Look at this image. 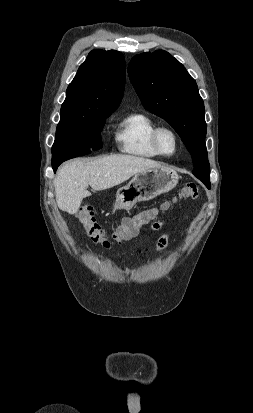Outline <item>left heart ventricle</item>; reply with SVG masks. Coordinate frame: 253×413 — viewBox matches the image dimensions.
Listing matches in <instances>:
<instances>
[{
  "instance_id": "b2bd125f",
  "label": "left heart ventricle",
  "mask_w": 253,
  "mask_h": 413,
  "mask_svg": "<svg viewBox=\"0 0 253 413\" xmlns=\"http://www.w3.org/2000/svg\"><path fill=\"white\" fill-rule=\"evenodd\" d=\"M159 144L162 149V151L166 154H171L173 153L175 149V140L173 136L167 132L163 131L160 136H159Z\"/></svg>"
}]
</instances>
